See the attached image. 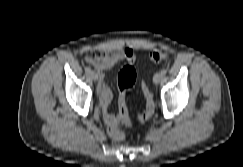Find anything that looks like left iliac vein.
<instances>
[{
  "instance_id": "left-iliac-vein-1",
  "label": "left iliac vein",
  "mask_w": 243,
  "mask_h": 167,
  "mask_svg": "<svg viewBox=\"0 0 243 167\" xmlns=\"http://www.w3.org/2000/svg\"><path fill=\"white\" fill-rule=\"evenodd\" d=\"M162 79H163V74L161 72H157L153 77V82L155 84H158Z\"/></svg>"
}]
</instances>
